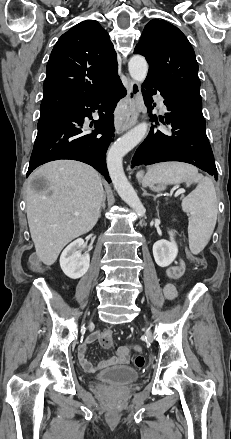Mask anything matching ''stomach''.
<instances>
[{
    "label": "stomach",
    "instance_id": "0dacf381",
    "mask_svg": "<svg viewBox=\"0 0 231 439\" xmlns=\"http://www.w3.org/2000/svg\"><path fill=\"white\" fill-rule=\"evenodd\" d=\"M137 178H138L139 180H142V181H143L144 178H145V176H143L142 173H138V174H137ZM149 187H150V189L153 190V191L161 192V191H164V190L166 189V184H165V183H162V182H159V183H153V184H150Z\"/></svg>",
    "mask_w": 231,
    "mask_h": 439
}]
</instances>
